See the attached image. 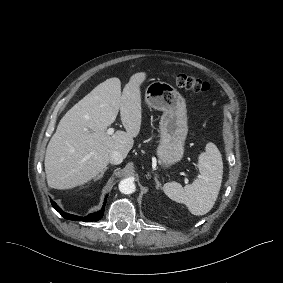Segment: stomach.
I'll return each instance as SVG.
<instances>
[{
	"label": "stomach",
	"instance_id": "0dacf381",
	"mask_svg": "<svg viewBox=\"0 0 283 283\" xmlns=\"http://www.w3.org/2000/svg\"><path fill=\"white\" fill-rule=\"evenodd\" d=\"M145 102L163 111L157 156L165 167L179 162L183 158L188 133L185 99L170 84L156 81L146 88Z\"/></svg>",
	"mask_w": 283,
	"mask_h": 283
}]
</instances>
